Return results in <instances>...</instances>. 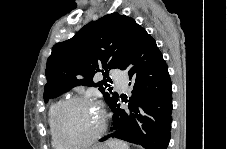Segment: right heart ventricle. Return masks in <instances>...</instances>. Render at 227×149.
Instances as JSON below:
<instances>
[{
  "label": "right heart ventricle",
  "mask_w": 227,
  "mask_h": 149,
  "mask_svg": "<svg viewBox=\"0 0 227 149\" xmlns=\"http://www.w3.org/2000/svg\"><path fill=\"white\" fill-rule=\"evenodd\" d=\"M60 103H61V101H57V102L53 103L50 106L49 111H48V126H49V132H50V137H51V144L54 149H63L62 145L56 139V136L54 133V128H53L54 114Z\"/></svg>",
  "instance_id": "right-heart-ventricle-1"
}]
</instances>
